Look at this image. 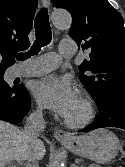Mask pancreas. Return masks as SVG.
<instances>
[{
	"label": "pancreas",
	"mask_w": 125,
	"mask_h": 167,
	"mask_svg": "<svg viewBox=\"0 0 125 167\" xmlns=\"http://www.w3.org/2000/svg\"><path fill=\"white\" fill-rule=\"evenodd\" d=\"M81 167H83V166H81ZM90 167H100V166L93 164V165H91Z\"/></svg>",
	"instance_id": "1"
}]
</instances>
